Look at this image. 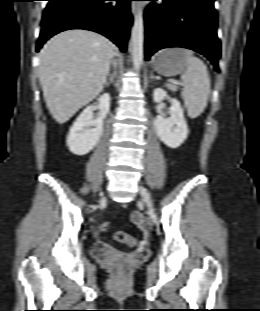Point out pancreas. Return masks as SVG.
<instances>
[{"label": "pancreas", "instance_id": "pancreas-1", "mask_svg": "<svg viewBox=\"0 0 260 311\" xmlns=\"http://www.w3.org/2000/svg\"><path fill=\"white\" fill-rule=\"evenodd\" d=\"M166 87L171 90L172 92L177 91L178 87L174 84H166Z\"/></svg>", "mask_w": 260, "mask_h": 311}]
</instances>
